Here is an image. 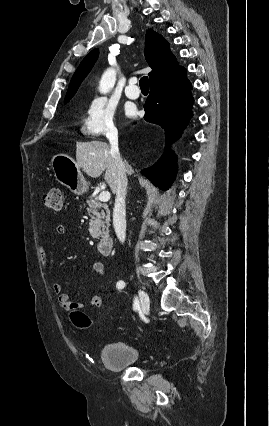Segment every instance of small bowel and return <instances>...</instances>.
<instances>
[{
  "label": "small bowel",
  "instance_id": "1",
  "mask_svg": "<svg viewBox=\"0 0 269 426\" xmlns=\"http://www.w3.org/2000/svg\"><path fill=\"white\" fill-rule=\"evenodd\" d=\"M56 233L59 236L66 235L67 227L63 224L58 225L56 227ZM39 254H40V258H41V261H42L44 268L48 269L49 268L48 252H47V250L44 246L40 247ZM91 271H92L93 274H95V275H97L101 278H106L105 266L101 262H94L91 265ZM52 289H53V292L56 295L57 300L60 303V305L65 310H68V311L73 310V309L83 308V307H86V306L100 307V306H104L106 304V301L100 296L92 297L86 304L81 303V302L72 301V300H70L68 294L63 291L62 286L58 282H54L52 284Z\"/></svg>",
  "mask_w": 269,
  "mask_h": 426
}]
</instances>
